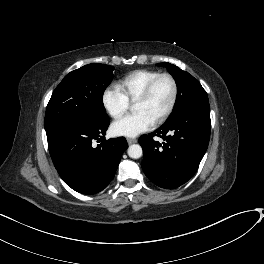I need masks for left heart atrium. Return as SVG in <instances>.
Wrapping results in <instances>:
<instances>
[{"mask_svg":"<svg viewBox=\"0 0 264 264\" xmlns=\"http://www.w3.org/2000/svg\"><path fill=\"white\" fill-rule=\"evenodd\" d=\"M154 125V121L144 112H136L116 121L113 132L118 136L135 137L148 131Z\"/></svg>","mask_w":264,"mask_h":264,"instance_id":"1","label":"left heart atrium"}]
</instances>
